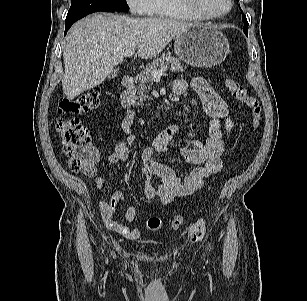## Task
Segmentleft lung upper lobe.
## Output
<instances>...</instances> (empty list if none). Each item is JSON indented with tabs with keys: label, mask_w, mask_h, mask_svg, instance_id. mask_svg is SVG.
Returning <instances> with one entry per match:
<instances>
[{
	"label": "left lung upper lobe",
	"mask_w": 307,
	"mask_h": 301,
	"mask_svg": "<svg viewBox=\"0 0 307 301\" xmlns=\"http://www.w3.org/2000/svg\"><path fill=\"white\" fill-rule=\"evenodd\" d=\"M239 1V0H237ZM243 14V12H242ZM243 22L245 24V26L243 27V31L246 35H248V22H247V19H246V16L243 14Z\"/></svg>",
	"instance_id": "5c2ea615"
}]
</instances>
